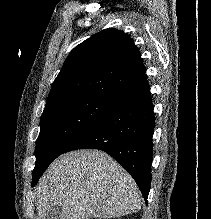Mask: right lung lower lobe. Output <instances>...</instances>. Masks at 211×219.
<instances>
[{"label":"right lung lower lobe","mask_w":211,"mask_h":219,"mask_svg":"<svg viewBox=\"0 0 211 219\" xmlns=\"http://www.w3.org/2000/svg\"><path fill=\"white\" fill-rule=\"evenodd\" d=\"M154 127L155 117L148 87L117 104L78 136L63 153L85 148L107 152L129 172L147 202Z\"/></svg>","instance_id":"right-lung-lower-lobe-1"}]
</instances>
